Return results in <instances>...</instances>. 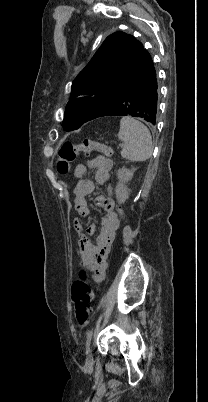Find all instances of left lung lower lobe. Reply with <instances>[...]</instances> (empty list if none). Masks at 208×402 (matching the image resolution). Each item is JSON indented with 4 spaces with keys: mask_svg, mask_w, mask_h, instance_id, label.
Here are the masks:
<instances>
[{
    "mask_svg": "<svg viewBox=\"0 0 208 402\" xmlns=\"http://www.w3.org/2000/svg\"><path fill=\"white\" fill-rule=\"evenodd\" d=\"M142 63L116 100L103 110L102 116H128L143 118L155 125L158 111L157 74L147 50L142 46Z\"/></svg>",
    "mask_w": 208,
    "mask_h": 402,
    "instance_id": "obj_1",
    "label": "left lung lower lobe"
}]
</instances>
